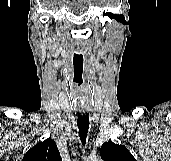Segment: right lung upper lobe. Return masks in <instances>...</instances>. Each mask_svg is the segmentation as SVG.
I'll list each match as a JSON object with an SVG mask.
<instances>
[{
    "label": "right lung upper lobe",
    "instance_id": "right-lung-upper-lobe-1",
    "mask_svg": "<svg viewBox=\"0 0 171 161\" xmlns=\"http://www.w3.org/2000/svg\"><path fill=\"white\" fill-rule=\"evenodd\" d=\"M22 161H62L59 150L51 138L36 144L23 157Z\"/></svg>",
    "mask_w": 171,
    "mask_h": 161
}]
</instances>
